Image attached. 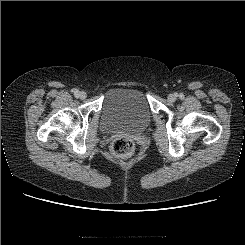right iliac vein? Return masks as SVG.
<instances>
[{
  "label": "right iliac vein",
  "mask_w": 245,
  "mask_h": 245,
  "mask_svg": "<svg viewBox=\"0 0 245 245\" xmlns=\"http://www.w3.org/2000/svg\"><path fill=\"white\" fill-rule=\"evenodd\" d=\"M78 97L83 100L87 97V93L85 91H81L79 92Z\"/></svg>",
  "instance_id": "obj_1"
}]
</instances>
